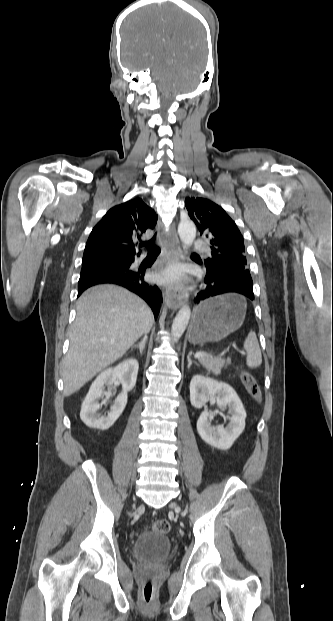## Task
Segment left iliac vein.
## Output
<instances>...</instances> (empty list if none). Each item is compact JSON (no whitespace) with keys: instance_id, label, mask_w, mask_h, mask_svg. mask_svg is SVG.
Masks as SVG:
<instances>
[{"instance_id":"obj_1","label":"left iliac vein","mask_w":333,"mask_h":621,"mask_svg":"<svg viewBox=\"0 0 333 621\" xmlns=\"http://www.w3.org/2000/svg\"><path fill=\"white\" fill-rule=\"evenodd\" d=\"M172 507H176V505H175V504H173V505H172Z\"/></svg>"}]
</instances>
